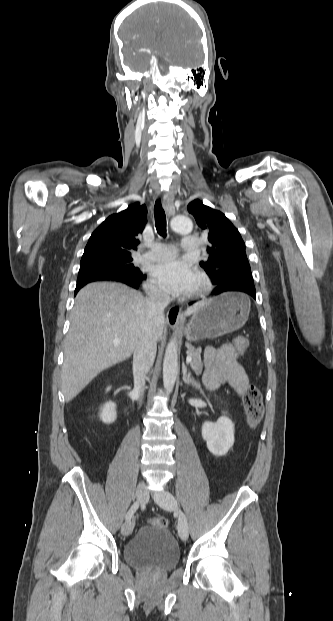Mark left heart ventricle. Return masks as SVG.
Listing matches in <instances>:
<instances>
[{
    "label": "left heart ventricle",
    "instance_id": "obj_1",
    "mask_svg": "<svg viewBox=\"0 0 333 621\" xmlns=\"http://www.w3.org/2000/svg\"><path fill=\"white\" fill-rule=\"evenodd\" d=\"M198 286H199V281L197 280V282H196V284H195V286H194V288H193L192 292H194V291L198 288Z\"/></svg>",
    "mask_w": 333,
    "mask_h": 621
}]
</instances>
